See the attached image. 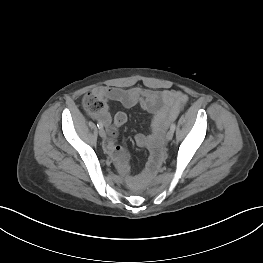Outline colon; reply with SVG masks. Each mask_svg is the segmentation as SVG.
I'll return each instance as SVG.
<instances>
[{"label": "colon", "instance_id": "1", "mask_svg": "<svg viewBox=\"0 0 263 263\" xmlns=\"http://www.w3.org/2000/svg\"><path fill=\"white\" fill-rule=\"evenodd\" d=\"M83 106L92 116H100L105 111L104 100L93 93H88L84 96Z\"/></svg>", "mask_w": 263, "mask_h": 263}]
</instances>
